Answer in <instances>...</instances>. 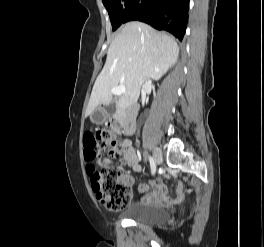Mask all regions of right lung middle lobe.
Returning a JSON list of instances; mask_svg holds the SVG:
<instances>
[{"instance_id":"1","label":"right lung middle lobe","mask_w":264,"mask_h":247,"mask_svg":"<svg viewBox=\"0 0 264 247\" xmlns=\"http://www.w3.org/2000/svg\"><path fill=\"white\" fill-rule=\"evenodd\" d=\"M102 2L109 13L112 29L114 31L122 24L125 13L134 0H125L124 7L120 4V0H102Z\"/></svg>"}]
</instances>
